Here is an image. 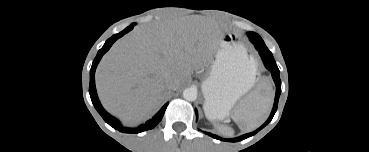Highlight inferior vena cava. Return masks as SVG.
Segmentation results:
<instances>
[{
  "instance_id": "obj_1",
  "label": "inferior vena cava",
  "mask_w": 369,
  "mask_h": 152,
  "mask_svg": "<svg viewBox=\"0 0 369 152\" xmlns=\"http://www.w3.org/2000/svg\"><path fill=\"white\" fill-rule=\"evenodd\" d=\"M167 86L169 89L175 90L176 89V82L169 79L167 80Z\"/></svg>"
}]
</instances>
